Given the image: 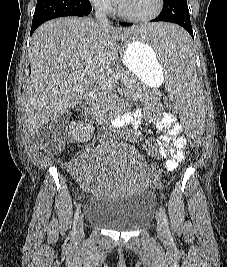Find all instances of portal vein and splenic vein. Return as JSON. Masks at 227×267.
<instances>
[{"label": "portal vein and splenic vein", "mask_w": 227, "mask_h": 267, "mask_svg": "<svg viewBox=\"0 0 227 267\" xmlns=\"http://www.w3.org/2000/svg\"><path fill=\"white\" fill-rule=\"evenodd\" d=\"M87 74V71H76L74 76L75 78H80V76H84ZM93 78L99 83V84H108L111 81H116L119 76L114 74V75H106L104 73H100V74H94Z\"/></svg>", "instance_id": "18ae733b"}]
</instances>
